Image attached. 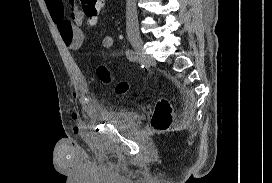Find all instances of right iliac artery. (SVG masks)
<instances>
[{
    "label": "right iliac artery",
    "mask_w": 272,
    "mask_h": 183,
    "mask_svg": "<svg viewBox=\"0 0 272 183\" xmlns=\"http://www.w3.org/2000/svg\"><path fill=\"white\" fill-rule=\"evenodd\" d=\"M126 56L129 59V61H131V62H134L137 59V57L135 55V52L133 50H131V49H128L126 51Z\"/></svg>",
    "instance_id": "right-iliac-artery-1"
}]
</instances>
